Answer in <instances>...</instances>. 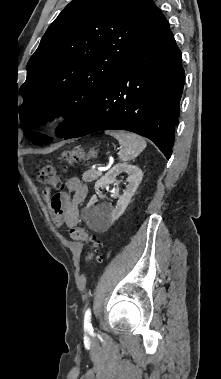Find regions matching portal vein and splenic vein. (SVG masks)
I'll use <instances>...</instances> for the list:
<instances>
[{
    "label": "portal vein and splenic vein",
    "mask_w": 221,
    "mask_h": 379,
    "mask_svg": "<svg viewBox=\"0 0 221 379\" xmlns=\"http://www.w3.org/2000/svg\"><path fill=\"white\" fill-rule=\"evenodd\" d=\"M97 170H98L99 172H102V171L104 170V167H98Z\"/></svg>",
    "instance_id": "1"
}]
</instances>
